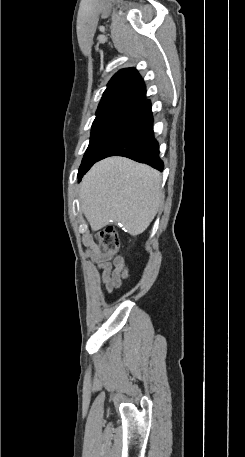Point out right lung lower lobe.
Listing matches in <instances>:
<instances>
[{
	"label": "right lung lower lobe",
	"instance_id": "98d812e1",
	"mask_svg": "<svg viewBox=\"0 0 245 457\" xmlns=\"http://www.w3.org/2000/svg\"><path fill=\"white\" fill-rule=\"evenodd\" d=\"M109 156H124L146 163L160 171L164 164L159 158L158 142L153 133L151 103L144 100L133 108L97 161ZM96 161V162H97Z\"/></svg>",
	"mask_w": 245,
	"mask_h": 457
}]
</instances>
